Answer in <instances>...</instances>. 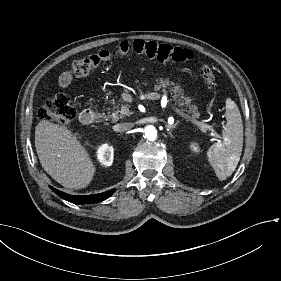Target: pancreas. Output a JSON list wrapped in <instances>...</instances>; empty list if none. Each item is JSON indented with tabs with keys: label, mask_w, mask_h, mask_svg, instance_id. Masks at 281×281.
<instances>
[{
	"label": "pancreas",
	"mask_w": 281,
	"mask_h": 281,
	"mask_svg": "<svg viewBox=\"0 0 281 281\" xmlns=\"http://www.w3.org/2000/svg\"><path fill=\"white\" fill-rule=\"evenodd\" d=\"M170 83L168 81H166L165 79H161L160 80V88L165 89L166 87H169ZM170 89V94L173 96L171 101L174 102L175 105H177V103H179L180 105H184L186 106V108H189V112L192 113V117L193 118H199V112L196 110V105L195 104H191L189 101H184V97L180 95V87L179 86H174V87H169ZM126 106H122L120 107L118 110L116 111H112L111 115L106 116V119L108 121H114L117 122L120 118H126L131 116V113L129 112H124V108ZM119 113H121V115L119 116Z\"/></svg>",
	"instance_id": "obj_1"
}]
</instances>
